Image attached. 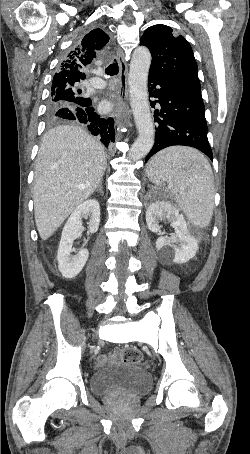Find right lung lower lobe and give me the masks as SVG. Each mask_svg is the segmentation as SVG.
<instances>
[{"instance_id": "obj_1", "label": "right lung lower lobe", "mask_w": 250, "mask_h": 454, "mask_svg": "<svg viewBox=\"0 0 250 454\" xmlns=\"http://www.w3.org/2000/svg\"><path fill=\"white\" fill-rule=\"evenodd\" d=\"M59 117L68 120H75L88 127V130L101 139V142L108 147L115 140V128L113 118H102L97 115L92 107V101L75 105L70 108L62 107L56 111Z\"/></svg>"}]
</instances>
